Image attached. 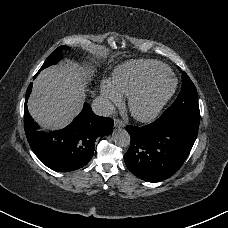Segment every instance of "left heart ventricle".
Returning a JSON list of instances; mask_svg holds the SVG:
<instances>
[{
    "label": "left heart ventricle",
    "mask_w": 228,
    "mask_h": 228,
    "mask_svg": "<svg viewBox=\"0 0 228 228\" xmlns=\"http://www.w3.org/2000/svg\"><path fill=\"white\" fill-rule=\"evenodd\" d=\"M167 91V87L164 86L156 91L148 93L140 102L139 109L146 111L151 108V106L158 101Z\"/></svg>",
    "instance_id": "1"
}]
</instances>
